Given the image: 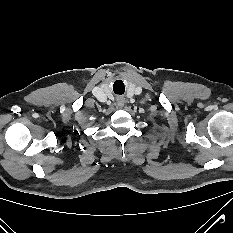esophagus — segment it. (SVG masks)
I'll return each mask as SVG.
<instances>
[{
    "label": "esophagus",
    "instance_id": "obj_1",
    "mask_svg": "<svg viewBox=\"0 0 233 233\" xmlns=\"http://www.w3.org/2000/svg\"><path fill=\"white\" fill-rule=\"evenodd\" d=\"M123 105V102L121 101L120 103H119V106H122Z\"/></svg>",
    "mask_w": 233,
    "mask_h": 233
}]
</instances>
